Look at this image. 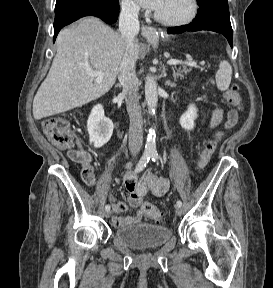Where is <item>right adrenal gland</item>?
Masks as SVG:
<instances>
[{
	"instance_id": "right-adrenal-gland-1",
	"label": "right adrenal gland",
	"mask_w": 273,
	"mask_h": 288,
	"mask_svg": "<svg viewBox=\"0 0 273 288\" xmlns=\"http://www.w3.org/2000/svg\"><path fill=\"white\" fill-rule=\"evenodd\" d=\"M115 87H121V85H120V84H117Z\"/></svg>"
}]
</instances>
